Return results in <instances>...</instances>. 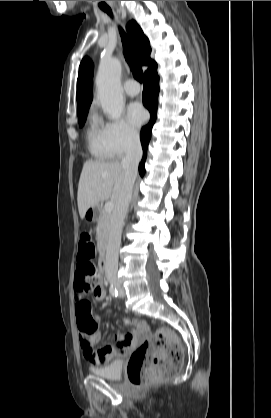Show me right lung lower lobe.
Returning <instances> with one entry per match:
<instances>
[{
    "instance_id": "obj_1",
    "label": "right lung lower lobe",
    "mask_w": 271,
    "mask_h": 418,
    "mask_svg": "<svg viewBox=\"0 0 271 418\" xmlns=\"http://www.w3.org/2000/svg\"><path fill=\"white\" fill-rule=\"evenodd\" d=\"M157 67L147 71L144 77L143 104L150 111L151 118L147 125L141 130V144L143 148V159L139 164V173L141 176L145 173L144 162L147 155V147L151 139V130L157 117L159 76L156 72Z\"/></svg>"
}]
</instances>
